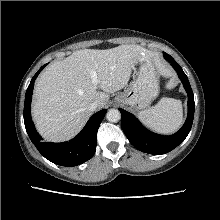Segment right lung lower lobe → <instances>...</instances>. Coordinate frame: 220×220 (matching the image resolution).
<instances>
[{"instance_id": "98d812e1", "label": "right lung lower lobe", "mask_w": 220, "mask_h": 220, "mask_svg": "<svg viewBox=\"0 0 220 220\" xmlns=\"http://www.w3.org/2000/svg\"><path fill=\"white\" fill-rule=\"evenodd\" d=\"M46 65H43L34 75L26 91L24 105L25 128L33 144L46 159L61 166H77L94 155L97 145V131L106 114V109L92 115L83 130L74 139L63 143L43 142L32 122L30 106L34 81Z\"/></svg>"}]
</instances>
